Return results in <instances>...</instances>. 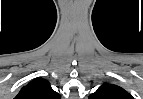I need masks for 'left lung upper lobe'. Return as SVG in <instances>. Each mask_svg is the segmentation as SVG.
Listing matches in <instances>:
<instances>
[{"mask_svg": "<svg viewBox=\"0 0 143 99\" xmlns=\"http://www.w3.org/2000/svg\"><path fill=\"white\" fill-rule=\"evenodd\" d=\"M89 99H133V97L118 85L104 83L89 96Z\"/></svg>", "mask_w": 143, "mask_h": 99, "instance_id": "1", "label": "left lung upper lobe"}]
</instances>
